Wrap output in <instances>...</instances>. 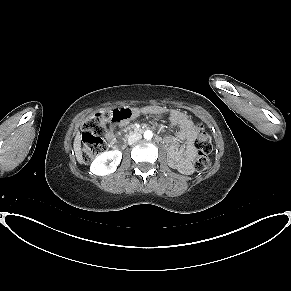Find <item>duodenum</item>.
Segmentation results:
<instances>
[{"instance_id":"1","label":"duodenum","mask_w":291,"mask_h":291,"mask_svg":"<svg viewBox=\"0 0 291 291\" xmlns=\"http://www.w3.org/2000/svg\"><path fill=\"white\" fill-rule=\"evenodd\" d=\"M140 131V126L138 124H133L126 127L124 130L120 131L116 137L113 138V149L115 151H122L127 145L126 140H128L129 137L133 136L134 134L139 133Z\"/></svg>"}]
</instances>
